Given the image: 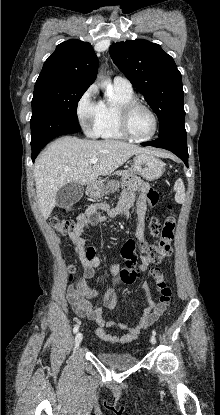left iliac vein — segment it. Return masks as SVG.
<instances>
[{
    "label": "left iliac vein",
    "instance_id": "1",
    "mask_svg": "<svg viewBox=\"0 0 220 415\" xmlns=\"http://www.w3.org/2000/svg\"><path fill=\"white\" fill-rule=\"evenodd\" d=\"M150 342H151V344H155L156 343V338H155L154 335L151 336Z\"/></svg>",
    "mask_w": 220,
    "mask_h": 415
}]
</instances>
